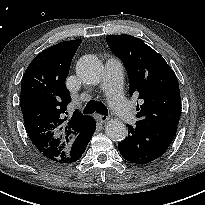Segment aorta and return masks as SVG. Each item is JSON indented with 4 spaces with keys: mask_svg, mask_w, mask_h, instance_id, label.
I'll use <instances>...</instances> for the list:
<instances>
[{
    "mask_svg": "<svg viewBox=\"0 0 205 205\" xmlns=\"http://www.w3.org/2000/svg\"><path fill=\"white\" fill-rule=\"evenodd\" d=\"M76 73L83 83L97 85L103 74L102 64L94 55H85L77 62ZM105 133L111 140L118 142L126 138L127 129L121 121L111 119L105 126Z\"/></svg>",
    "mask_w": 205,
    "mask_h": 205,
    "instance_id": "aorta-1",
    "label": "aorta"
}]
</instances>
